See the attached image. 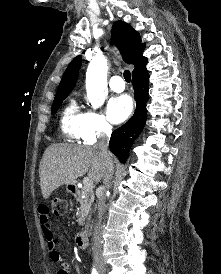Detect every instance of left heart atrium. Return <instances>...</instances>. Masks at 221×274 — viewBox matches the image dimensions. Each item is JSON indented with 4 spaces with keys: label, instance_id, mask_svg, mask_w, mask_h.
<instances>
[{
    "label": "left heart atrium",
    "instance_id": "left-heart-atrium-1",
    "mask_svg": "<svg viewBox=\"0 0 221 274\" xmlns=\"http://www.w3.org/2000/svg\"><path fill=\"white\" fill-rule=\"evenodd\" d=\"M133 103L128 95H119L112 97L106 107L108 119L114 123L119 124L125 121L131 114Z\"/></svg>",
    "mask_w": 221,
    "mask_h": 274
}]
</instances>
